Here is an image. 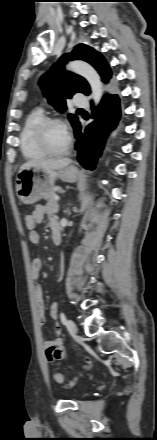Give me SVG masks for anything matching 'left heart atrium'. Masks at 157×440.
<instances>
[{"label": "left heart atrium", "instance_id": "obj_1", "mask_svg": "<svg viewBox=\"0 0 157 440\" xmlns=\"http://www.w3.org/2000/svg\"><path fill=\"white\" fill-rule=\"evenodd\" d=\"M63 127H64V130H65L66 134H67L68 137H69V132H68L67 128H66L65 126H63Z\"/></svg>", "mask_w": 157, "mask_h": 440}]
</instances>
